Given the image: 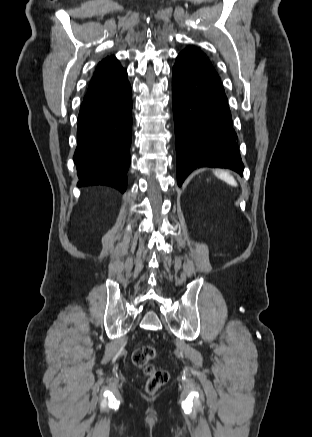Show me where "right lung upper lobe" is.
<instances>
[{
  "instance_id": "cb5924a9",
  "label": "right lung upper lobe",
  "mask_w": 312,
  "mask_h": 437,
  "mask_svg": "<svg viewBox=\"0 0 312 437\" xmlns=\"http://www.w3.org/2000/svg\"><path fill=\"white\" fill-rule=\"evenodd\" d=\"M125 73L126 70L121 67L119 61L114 56L103 59L96 68L86 96L107 88Z\"/></svg>"
}]
</instances>
